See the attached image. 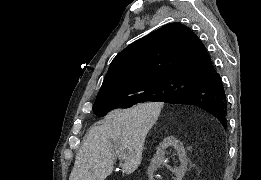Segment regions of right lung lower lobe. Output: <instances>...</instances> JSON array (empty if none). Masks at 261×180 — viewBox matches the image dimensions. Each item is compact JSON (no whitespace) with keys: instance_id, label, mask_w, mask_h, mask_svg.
Returning <instances> with one entry per match:
<instances>
[{"instance_id":"98d812e1","label":"right lung lower lobe","mask_w":261,"mask_h":180,"mask_svg":"<svg viewBox=\"0 0 261 180\" xmlns=\"http://www.w3.org/2000/svg\"><path fill=\"white\" fill-rule=\"evenodd\" d=\"M197 85L181 95L172 97L166 103L198 106L217 118L224 128L227 126V101L220 75L214 69L203 75Z\"/></svg>"}]
</instances>
